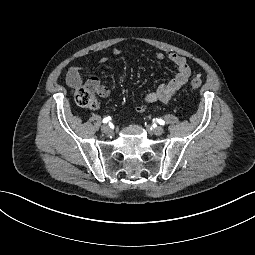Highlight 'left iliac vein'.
I'll list each match as a JSON object with an SVG mask.
<instances>
[{
  "label": "left iliac vein",
  "mask_w": 255,
  "mask_h": 255,
  "mask_svg": "<svg viewBox=\"0 0 255 255\" xmlns=\"http://www.w3.org/2000/svg\"><path fill=\"white\" fill-rule=\"evenodd\" d=\"M153 133L155 134V135H162L163 133H164V129L161 127V126H158V127H155V128H153Z\"/></svg>",
  "instance_id": "left-iliac-vein-1"
}]
</instances>
